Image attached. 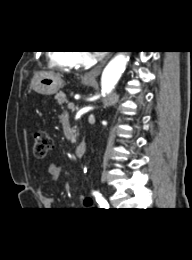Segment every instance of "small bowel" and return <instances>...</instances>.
<instances>
[{
    "label": "small bowel",
    "mask_w": 192,
    "mask_h": 260,
    "mask_svg": "<svg viewBox=\"0 0 192 260\" xmlns=\"http://www.w3.org/2000/svg\"><path fill=\"white\" fill-rule=\"evenodd\" d=\"M46 174L49 176L51 180L58 181L60 178L59 166L54 162L49 163L46 168ZM40 201L45 209H52L56 205V200L54 198L45 196L42 193H40ZM84 204L85 206H88L90 205V201L86 199L84 201Z\"/></svg>",
    "instance_id": "obj_1"
}]
</instances>
